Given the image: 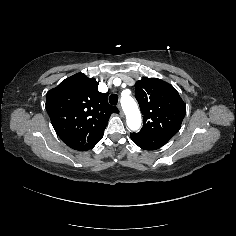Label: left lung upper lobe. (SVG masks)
Wrapping results in <instances>:
<instances>
[{
	"label": "left lung upper lobe",
	"instance_id": "obj_1",
	"mask_svg": "<svg viewBox=\"0 0 236 236\" xmlns=\"http://www.w3.org/2000/svg\"><path fill=\"white\" fill-rule=\"evenodd\" d=\"M135 97L143 114V127L138 133L171 139L186 113L177 90L163 80L143 78L135 84Z\"/></svg>",
	"mask_w": 236,
	"mask_h": 236
}]
</instances>
